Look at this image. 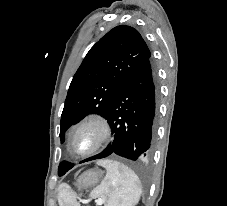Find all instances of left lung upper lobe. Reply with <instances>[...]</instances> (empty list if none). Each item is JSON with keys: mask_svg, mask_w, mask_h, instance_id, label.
Here are the masks:
<instances>
[{"mask_svg": "<svg viewBox=\"0 0 227 206\" xmlns=\"http://www.w3.org/2000/svg\"><path fill=\"white\" fill-rule=\"evenodd\" d=\"M150 57L145 41L133 27L120 25L104 35L89 50L70 84L61 116V143L66 130L86 115L107 118L122 84ZM71 167L62 162L58 174Z\"/></svg>", "mask_w": 227, "mask_h": 206, "instance_id": "1", "label": "left lung upper lobe"}]
</instances>
